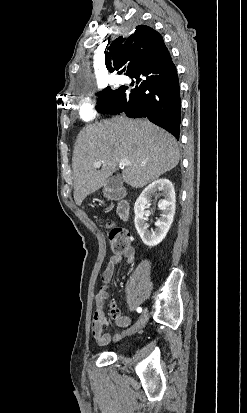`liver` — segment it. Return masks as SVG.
Here are the masks:
<instances>
[{
  "instance_id": "1",
  "label": "liver",
  "mask_w": 247,
  "mask_h": 413,
  "mask_svg": "<svg viewBox=\"0 0 247 413\" xmlns=\"http://www.w3.org/2000/svg\"><path fill=\"white\" fill-rule=\"evenodd\" d=\"M179 156L174 136L147 118L113 116L86 124L76 138L72 158L74 200L81 204L87 194L101 188L120 160H129L122 170L124 182L141 188L174 168ZM95 160H101L100 170Z\"/></svg>"
}]
</instances>
